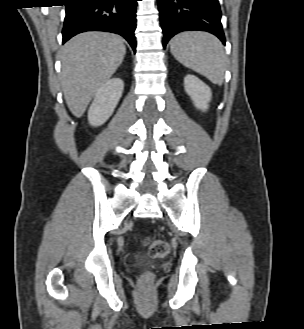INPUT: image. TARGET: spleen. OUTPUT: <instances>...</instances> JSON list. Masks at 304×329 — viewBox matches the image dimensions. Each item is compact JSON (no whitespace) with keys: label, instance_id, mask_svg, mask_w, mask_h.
<instances>
[{"label":"spleen","instance_id":"1","mask_svg":"<svg viewBox=\"0 0 304 329\" xmlns=\"http://www.w3.org/2000/svg\"><path fill=\"white\" fill-rule=\"evenodd\" d=\"M170 51L181 64L222 85L225 53L221 42L209 33L188 31L176 35Z\"/></svg>","mask_w":304,"mask_h":329}]
</instances>
